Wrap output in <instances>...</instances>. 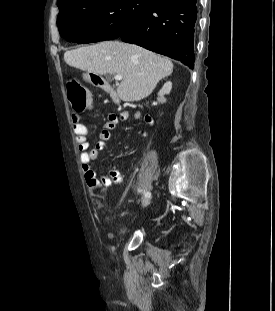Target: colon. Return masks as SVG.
Here are the masks:
<instances>
[{
  "instance_id": "5ec220e1",
  "label": "colon",
  "mask_w": 275,
  "mask_h": 311,
  "mask_svg": "<svg viewBox=\"0 0 275 311\" xmlns=\"http://www.w3.org/2000/svg\"><path fill=\"white\" fill-rule=\"evenodd\" d=\"M67 92L72 108L76 112L83 111L89 101L88 90L78 82L70 81L67 83ZM102 187L105 189L107 186L104 184ZM97 194L101 196L103 193L99 191Z\"/></svg>"
}]
</instances>
